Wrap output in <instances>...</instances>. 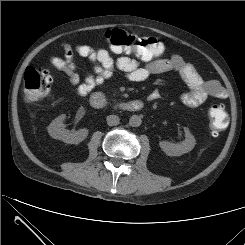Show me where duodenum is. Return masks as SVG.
Instances as JSON below:
<instances>
[{"label": "duodenum", "mask_w": 245, "mask_h": 245, "mask_svg": "<svg viewBox=\"0 0 245 245\" xmlns=\"http://www.w3.org/2000/svg\"><path fill=\"white\" fill-rule=\"evenodd\" d=\"M89 103L96 109H112L127 112L140 111L144 104L140 100H134L129 102H111L106 99L101 93H93L89 98Z\"/></svg>", "instance_id": "obj_1"}]
</instances>
